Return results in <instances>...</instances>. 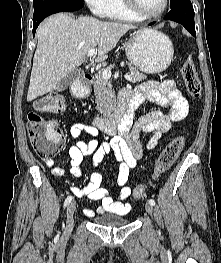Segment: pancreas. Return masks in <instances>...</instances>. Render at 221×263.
Returning <instances> with one entry per match:
<instances>
[{"label": "pancreas", "mask_w": 221, "mask_h": 263, "mask_svg": "<svg viewBox=\"0 0 221 263\" xmlns=\"http://www.w3.org/2000/svg\"><path fill=\"white\" fill-rule=\"evenodd\" d=\"M114 65L110 64L107 69H112ZM130 75L132 76V83H138L147 78L146 75L141 73L138 69L129 65ZM94 92L96 95V110L103 116H108L113 112L115 106V92L112 89L109 79H104L102 72H100L93 83Z\"/></svg>", "instance_id": "1"}]
</instances>
